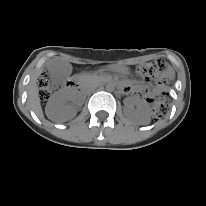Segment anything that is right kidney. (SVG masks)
<instances>
[{
	"label": "right kidney",
	"instance_id": "obj_1",
	"mask_svg": "<svg viewBox=\"0 0 206 206\" xmlns=\"http://www.w3.org/2000/svg\"><path fill=\"white\" fill-rule=\"evenodd\" d=\"M77 92H57L47 102L45 112L52 121H66L76 115L75 110L67 105L69 99H76Z\"/></svg>",
	"mask_w": 206,
	"mask_h": 206
}]
</instances>
